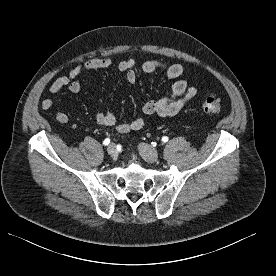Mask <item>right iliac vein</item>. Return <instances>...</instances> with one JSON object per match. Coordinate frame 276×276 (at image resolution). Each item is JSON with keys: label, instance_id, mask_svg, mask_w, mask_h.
<instances>
[{"label": "right iliac vein", "instance_id": "obj_1", "mask_svg": "<svg viewBox=\"0 0 276 276\" xmlns=\"http://www.w3.org/2000/svg\"><path fill=\"white\" fill-rule=\"evenodd\" d=\"M107 152L111 157L117 156V149L114 144H110L107 148Z\"/></svg>", "mask_w": 276, "mask_h": 276}]
</instances>
